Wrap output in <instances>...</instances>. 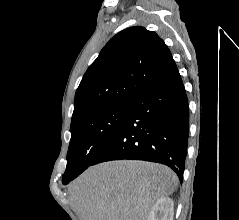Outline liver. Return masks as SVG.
I'll use <instances>...</instances> for the list:
<instances>
[{"label":"liver","mask_w":239,"mask_h":220,"mask_svg":"<svg viewBox=\"0 0 239 220\" xmlns=\"http://www.w3.org/2000/svg\"><path fill=\"white\" fill-rule=\"evenodd\" d=\"M177 185L178 177L164 165L118 160L87 169L69 193L80 220H148L155 202Z\"/></svg>","instance_id":"liver-1"}]
</instances>
